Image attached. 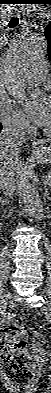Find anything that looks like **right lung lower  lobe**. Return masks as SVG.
<instances>
[{"label":"right lung lower lobe","mask_w":51,"mask_h":393,"mask_svg":"<svg viewBox=\"0 0 51 393\" xmlns=\"http://www.w3.org/2000/svg\"><path fill=\"white\" fill-rule=\"evenodd\" d=\"M2 129V126H1V124H0V130Z\"/></svg>","instance_id":"right-lung-lower-lobe-1"}]
</instances>
